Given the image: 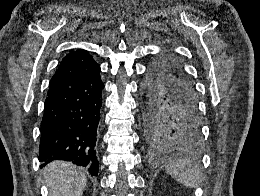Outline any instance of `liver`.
<instances>
[{"mask_svg": "<svg viewBox=\"0 0 260 196\" xmlns=\"http://www.w3.org/2000/svg\"><path fill=\"white\" fill-rule=\"evenodd\" d=\"M50 196H82L87 178L70 162H52L44 170Z\"/></svg>", "mask_w": 260, "mask_h": 196, "instance_id": "liver-1", "label": "liver"}]
</instances>
